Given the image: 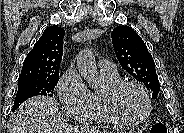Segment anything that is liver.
Here are the masks:
<instances>
[{"label": "liver", "instance_id": "liver-1", "mask_svg": "<svg viewBox=\"0 0 184 133\" xmlns=\"http://www.w3.org/2000/svg\"><path fill=\"white\" fill-rule=\"evenodd\" d=\"M60 117L61 111L55 99L35 96L11 115L10 133H101L93 128L69 127Z\"/></svg>", "mask_w": 184, "mask_h": 133}]
</instances>
